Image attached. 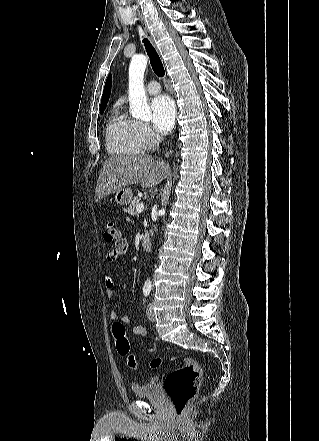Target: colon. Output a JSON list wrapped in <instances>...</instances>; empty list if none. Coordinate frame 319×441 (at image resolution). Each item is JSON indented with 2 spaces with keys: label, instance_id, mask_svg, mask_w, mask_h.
<instances>
[{
  "label": "colon",
  "instance_id": "obj_1",
  "mask_svg": "<svg viewBox=\"0 0 319 441\" xmlns=\"http://www.w3.org/2000/svg\"><path fill=\"white\" fill-rule=\"evenodd\" d=\"M119 230L114 221H107L104 226V240L113 242L119 238ZM112 334L115 340L117 352L126 358L129 368L136 369L138 362L131 354L130 342L127 331L122 321H115L112 325ZM171 361H180L182 366L172 370L164 380V389L169 397L177 417H183L186 413V406L195 395L199 381L201 368L199 363L191 357H172ZM163 359L153 358L149 366L157 369L161 366Z\"/></svg>",
  "mask_w": 319,
  "mask_h": 441
}]
</instances>
